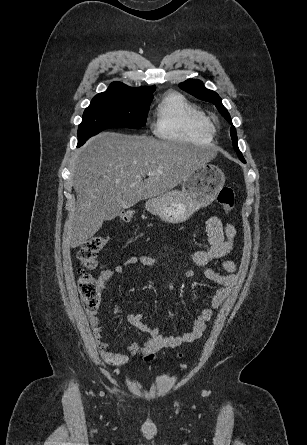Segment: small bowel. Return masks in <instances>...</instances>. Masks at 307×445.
<instances>
[{
  "label": "small bowel",
  "mask_w": 307,
  "mask_h": 445,
  "mask_svg": "<svg viewBox=\"0 0 307 445\" xmlns=\"http://www.w3.org/2000/svg\"><path fill=\"white\" fill-rule=\"evenodd\" d=\"M207 248L192 255V262L202 268L204 276L217 284L219 288L213 294L210 304L195 318L192 327L178 336H163L157 327H151L143 322V314L133 313L126 317L127 322L134 328L145 332L149 339L143 344H131L124 352L112 351L110 345L102 337V329L96 312L89 314V323L100 356L110 365H124L131 361V357L143 354L146 361L153 359L154 353L163 348H175L198 340L206 328V323L212 318L214 311L227 298L234 284L236 263L225 257L234 248L235 228L231 223H223L217 216L210 217L206 222ZM212 261H219V268L209 267ZM143 266L157 270L158 262L148 255L129 256L122 264L102 271L98 281L103 288L113 277L122 275L126 267ZM120 312L118 306L115 307Z\"/></svg>",
  "instance_id": "1"
}]
</instances>
